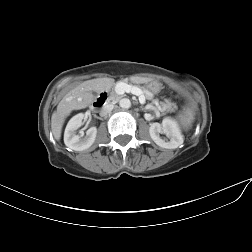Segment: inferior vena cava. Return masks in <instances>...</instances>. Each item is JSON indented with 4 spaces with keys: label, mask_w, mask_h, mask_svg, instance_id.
<instances>
[{
    "label": "inferior vena cava",
    "mask_w": 252,
    "mask_h": 252,
    "mask_svg": "<svg viewBox=\"0 0 252 252\" xmlns=\"http://www.w3.org/2000/svg\"><path fill=\"white\" fill-rule=\"evenodd\" d=\"M113 108H114L113 104H107V105L103 106L100 111V115L106 116L108 113H110L113 110Z\"/></svg>",
    "instance_id": "602c4592"
}]
</instances>
